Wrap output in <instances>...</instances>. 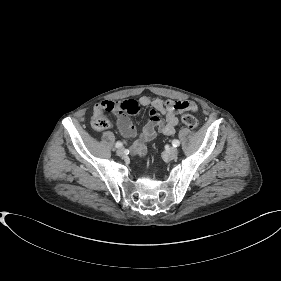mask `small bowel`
Returning a JSON list of instances; mask_svg holds the SVG:
<instances>
[{
    "mask_svg": "<svg viewBox=\"0 0 281 281\" xmlns=\"http://www.w3.org/2000/svg\"><path fill=\"white\" fill-rule=\"evenodd\" d=\"M189 101H163L159 98L142 96L138 101L125 100L121 102L102 101L95 105L94 111L100 112L109 106H113V112L118 116V129L121 136L125 139H132L136 134V129L132 124L128 114L138 112L140 106H150L149 120L145 124L140 137L130 146L132 155H143L146 152V145L153 141L157 133L170 136L175 133L178 125V115L185 110H196V105L191 103L195 109L187 108L184 105ZM158 113L164 116L162 121Z\"/></svg>",
    "mask_w": 281,
    "mask_h": 281,
    "instance_id": "obj_1",
    "label": "small bowel"
}]
</instances>
